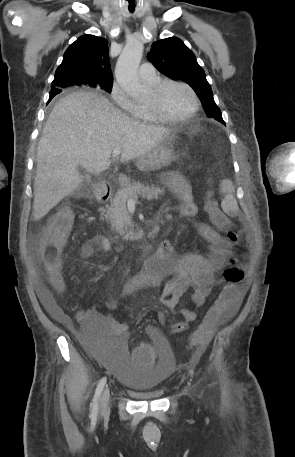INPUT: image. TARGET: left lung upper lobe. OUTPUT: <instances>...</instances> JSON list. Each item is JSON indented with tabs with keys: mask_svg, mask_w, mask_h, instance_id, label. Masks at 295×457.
Returning a JSON list of instances; mask_svg holds the SVG:
<instances>
[{
	"mask_svg": "<svg viewBox=\"0 0 295 457\" xmlns=\"http://www.w3.org/2000/svg\"><path fill=\"white\" fill-rule=\"evenodd\" d=\"M148 59L165 76L190 85L201 100L206 115L225 124L204 70L181 39L169 37L154 42Z\"/></svg>",
	"mask_w": 295,
	"mask_h": 457,
	"instance_id": "5c2ea615",
	"label": "left lung upper lobe"
}]
</instances>
